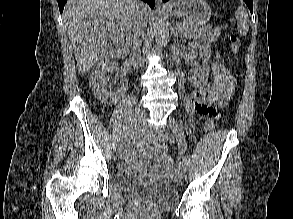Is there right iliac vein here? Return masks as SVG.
<instances>
[{
    "mask_svg": "<svg viewBox=\"0 0 293 219\" xmlns=\"http://www.w3.org/2000/svg\"><path fill=\"white\" fill-rule=\"evenodd\" d=\"M147 113L145 111L141 112L137 118L135 119L133 126L131 127V130L129 132V135L125 138H123L118 143V150L121 151L124 149V147L129 143V141L133 138L135 134H137L142 127L144 126L145 119H146Z\"/></svg>",
    "mask_w": 293,
    "mask_h": 219,
    "instance_id": "63e3f726",
    "label": "right iliac vein"
}]
</instances>
